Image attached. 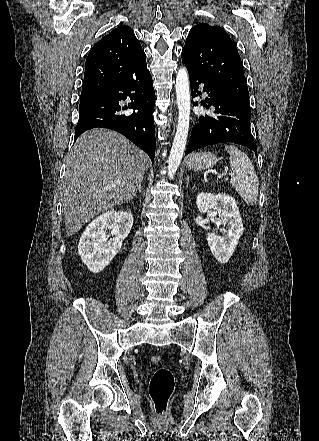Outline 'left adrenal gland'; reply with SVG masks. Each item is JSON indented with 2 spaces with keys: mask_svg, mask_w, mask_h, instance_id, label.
<instances>
[{
  "mask_svg": "<svg viewBox=\"0 0 319 441\" xmlns=\"http://www.w3.org/2000/svg\"><path fill=\"white\" fill-rule=\"evenodd\" d=\"M189 179H190V177L187 176V188H188V185H189Z\"/></svg>",
  "mask_w": 319,
  "mask_h": 441,
  "instance_id": "obj_1",
  "label": "left adrenal gland"
}]
</instances>
